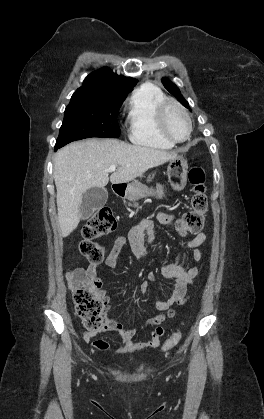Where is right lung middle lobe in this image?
Here are the masks:
<instances>
[{
    "instance_id": "right-lung-middle-lobe-1",
    "label": "right lung middle lobe",
    "mask_w": 264,
    "mask_h": 419,
    "mask_svg": "<svg viewBox=\"0 0 264 419\" xmlns=\"http://www.w3.org/2000/svg\"><path fill=\"white\" fill-rule=\"evenodd\" d=\"M126 96L77 90L65 109L55 147L84 138L120 136L119 109Z\"/></svg>"
}]
</instances>
